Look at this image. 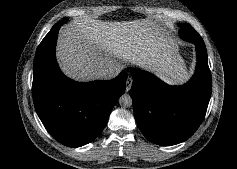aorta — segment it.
<instances>
[{"instance_id":"obj_1","label":"aorta","mask_w":237,"mask_h":169,"mask_svg":"<svg viewBox=\"0 0 237 169\" xmlns=\"http://www.w3.org/2000/svg\"><path fill=\"white\" fill-rule=\"evenodd\" d=\"M119 105L121 107H130L132 105V98H131V96L128 95V94H123L119 98Z\"/></svg>"}]
</instances>
